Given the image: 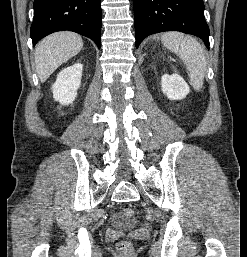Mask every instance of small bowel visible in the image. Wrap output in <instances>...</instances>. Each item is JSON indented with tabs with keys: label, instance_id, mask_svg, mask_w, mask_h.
<instances>
[{
	"label": "small bowel",
	"instance_id": "obj_1",
	"mask_svg": "<svg viewBox=\"0 0 247 257\" xmlns=\"http://www.w3.org/2000/svg\"><path fill=\"white\" fill-rule=\"evenodd\" d=\"M112 221H113L115 226H117L119 228H125V223H124L123 218L120 214H118V213L113 214Z\"/></svg>",
	"mask_w": 247,
	"mask_h": 257
}]
</instances>
